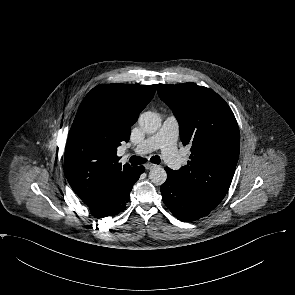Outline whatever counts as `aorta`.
Masks as SVG:
<instances>
[{
	"instance_id": "762f6f07",
	"label": "aorta",
	"mask_w": 295,
	"mask_h": 295,
	"mask_svg": "<svg viewBox=\"0 0 295 295\" xmlns=\"http://www.w3.org/2000/svg\"><path fill=\"white\" fill-rule=\"evenodd\" d=\"M138 122L141 129L148 134L157 132L161 126L159 114L151 111L142 113L139 116ZM149 178L152 183L162 185L167 179V173L164 168L156 166L150 170Z\"/></svg>"
}]
</instances>
